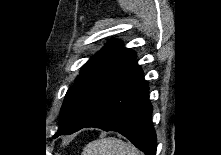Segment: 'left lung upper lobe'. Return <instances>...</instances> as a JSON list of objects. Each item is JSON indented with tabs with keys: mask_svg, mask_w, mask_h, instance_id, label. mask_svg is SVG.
Instances as JSON below:
<instances>
[{
	"mask_svg": "<svg viewBox=\"0 0 221 155\" xmlns=\"http://www.w3.org/2000/svg\"><path fill=\"white\" fill-rule=\"evenodd\" d=\"M135 52L111 41L84 66L73 86L69 88L61 108L58 131L67 128L79 114L88 98L100 83L121 65L135 56Z\"/></svg>",
	"mask_w": 221,
	"mask_h": 155,
	"instance_id": "5c2ea615",
	"label": "left lung upper lobe"
}]
</instances>
